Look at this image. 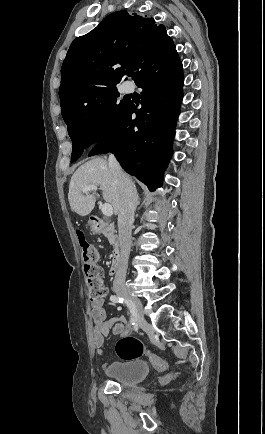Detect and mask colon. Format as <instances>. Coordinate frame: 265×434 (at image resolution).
I'll return each instance as SVG.
<instances>
[{"mask_svg":"<svg viewBox=\"0 0 265 434\" xmlns=\"http://www.w3.org/2000/svg\"><path fill=\"white\" fill-rule=\"evenodd\" d=\"M76 236L84 262L85 280L90 298L92 301L99 303L108 294L100 267L99 250L88 240L84 231L78 230ZM115 353L120 360L125 362H131L146 356L155 369L165 370L168 368V361L158 359L152 355L145 344L135 336H124L119 340L115 344ZM175 376L176 373L170 374L166 380Z\"/></svg>","mask_w":265,"mask_h":434,"instance_id":"1","label":"colon"}]
</instances>
